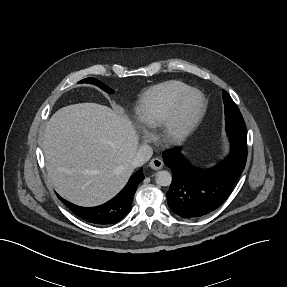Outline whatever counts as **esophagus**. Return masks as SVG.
<instances>
[{"instance_id":"1","label":"esophagus","mask_w":287,"mask_h":287,"mask_svg":"<svg viewBox=\"0 0 287 287\" xmlns=\"http://www.w3.org/2000/svg\"><path fill=\"white\" fill-rule=\"evenodd\" d=\"M149 167L153 170H160L163 167V161L156 157L149 162Z\"/></svg>"}]
</instances>
